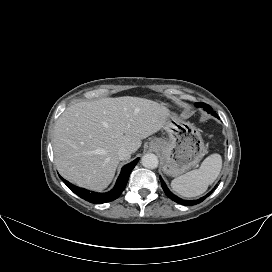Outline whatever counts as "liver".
I'll use <instances>...</instances> for the list:
<instances>
[{
  "label": "liver",
  "mask_w": 272,
  "mask_h": 272,
  "mask_svg": "<svg viewBox=\"0 0 272 272\" xmlns=\"http://www.w3.org/2000/svg\"><path fill=\"white\" fill-rule=\"evenodd\" d=\"M168 116L164 105L131 96L72 105L54 127L57 169L68 181L101 191L115 175L118 150L136 152L142 139L164 127Z\"/></svg>",
  "instance_id": "6515ba94"
}]
</instances>
